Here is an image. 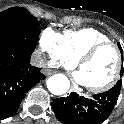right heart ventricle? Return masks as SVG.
<instances>
[{
    "label": "right heart ventricle",
    "instance_id": "e07e8e85",
    "mask_svg": "<svg viewBox=\"0 0 124 124\" xmlns=\"http://www.w3.org/2000/svg\"><path fill=\"white\" fill-rule=\"evenodd\" d=\"M108 41L109 36L96 28L66 30L62 34L63 49L73 62H77L94 45Z\"/></svg>",
    "mask_w": 124,
    "mask_h": 124
}]
</instances>
